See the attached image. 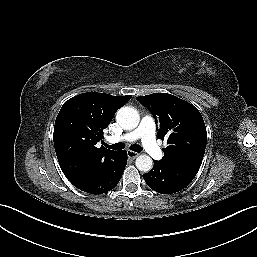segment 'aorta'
I'll return each instance as SVG.
<instances>
[{
    "mask_svg": "<svg viewBox=\"0 0 257 257\" xmlns=\"http://www.w3.org/2000/svg\"><path fill=\"white\" fill-rule=\"evenodd\" d=\"M116 120L118 124L126 129L136 128L140 121L139 113L133 107H122L117 111ZM153 160L146 154L139 155L136 158V167L142 172H148L152 169Z\"/></svg>",
    "mask_w": 257,
    "mask_h": 257,
    "instance_id": "762f6f07",
    "label": "aorta"
}]
</instances>
